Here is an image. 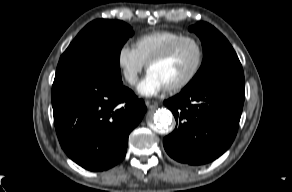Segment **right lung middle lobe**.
<instances>
[{
	"instance_id": "right-lung-middle-lobe-1",
	"label": "right lung middle lobe",
	"mask_w": 292,
	"mask_h": 192,
	"mask_svg": "<svg viewBox=\"0 0 292 192\" xmlns=\"http://www.w3.org/2000/svg\"><path fill=\"white\" fill-rule=\"evenodd\" d=\"M133 35L131 26L118 20H94L86 25L62 54L57 69H79L121 82L119 54Z\"/></svg>"
}]
</instances>
